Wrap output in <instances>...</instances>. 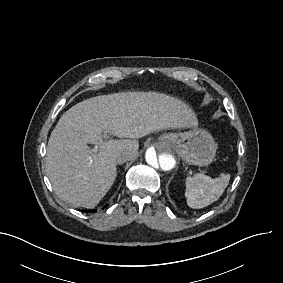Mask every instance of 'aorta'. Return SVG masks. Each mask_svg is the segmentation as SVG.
I'll return each mask as SVG.
<instances>
[{
	"label": "aorta",
	"instance_id": "aorta-1",
	"mask_svg": "<svg viewBox=\"0 0 283 283\" xmlns=\"http://www.w3.org/2000/svg\"><path fill=\"white\" fill-rule=\"evenodd\" d=\"M145 160L149 170L159 177L171 173L177 165L175 152L163 142L153 143L146 151Z\"/></svg>",
	"mask_w": 283,
	"mask_h": 283
}]
</instances>
